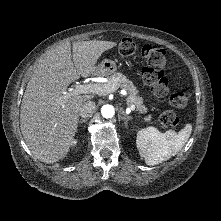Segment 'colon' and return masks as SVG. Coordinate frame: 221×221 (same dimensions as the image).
<instances>
[{
  "label": "colon",
  "instance_id": "5ec220e1",
  "mask_svg": "<svg viewBox=\"0 0 221 221\" xmlns=\"http://www.w3.org/2000/svg\"><path fill=\"white\" fill-rule=\"evenodd\" d=\"M118 52L122 56L138 53L147 62L146 67L142 69L144 82L152 88L156 96L166 97L168 95V80L164 75L166 53L163 49L151 45H137L133 40L126 38L119 43ZM187 101V96L182 90H175L169 96V102L173 108H183ZM160 122L164 127L175 128L179 120L175 112L167 110L162 113Z\"/></svg>",
  "mask_w": 221,
  "mask_h": 221
}]
</instances>
